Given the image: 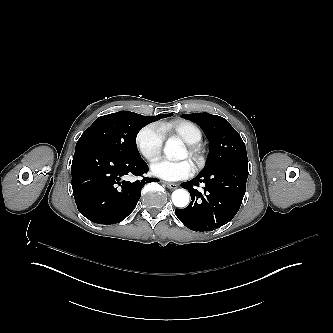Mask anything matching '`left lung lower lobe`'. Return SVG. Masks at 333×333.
<instances>
[{"label":"left lung lower lobe","instance_id":"left-lung-lower-lobe-1","mask_svg":"<svg viewBox=\"0 0 333 333\" xmlns=\"http://www.w3.org/2000/svg\"><path fill=\"white\" fill-rule=\"evenodd\" d=\"M248 178L247 162H230L213 172L199 174L181 184L191 194L192 201L184 209H176L178 219L193 231H212L228 223L238 212ZM204 183V194L196 189Z\"/></svg>","mask_w":333,"mask_h":333}]
</instances>
